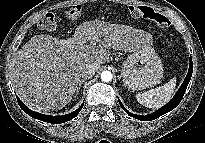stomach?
<instances>
[{
	"label": "stomach",
	"mask_w": 205,
	"mask_h": 143,
	"mask_svg": "<svg viewBox=\"0 0 205 143\" xmlns=\"http://www.w3.org/2000/svg\"><path fill=\"white\" fill-rule=\"evenodd\" d=\"M163 64L155 50L139 49L124 61L121 76L124 85L139 91L157 85L163 77Z\"/></svg>",
	"instance_id": "obj_1"
}]
</instances>
